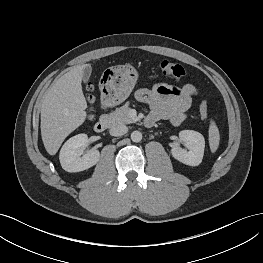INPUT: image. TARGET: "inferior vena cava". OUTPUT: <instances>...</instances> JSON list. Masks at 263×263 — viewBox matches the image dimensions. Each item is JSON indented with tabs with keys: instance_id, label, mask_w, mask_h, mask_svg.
I'll list each match as a JSON object with an SVG mask.
<instances>
[{
	"instance_id": "1",
	"label": "inferior vena cava",
	"mask_w": 263,
	"mask_h": 263,
	"mask_svg": "<svg viewBox=\"0 0 263 263\" xmlns=\"http://www.w3.org/2000/svg\"><path fill=\"white\" fill-rule=\"evenodd\" d=\"M128 128L126 125L124 124H117V125H113L110 129V135L112 136H122L125 133H127Z\"/></svg>"
}]
</instances>
